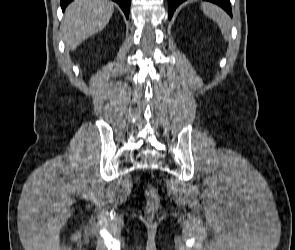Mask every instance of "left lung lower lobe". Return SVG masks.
I'll return each mask as SVG.
<instances>
[{
    "label": "left lung lower lobe",
    "mask_w": 295,
    "mask_h": 250,
    "mask_svg": "<svg viewBox=\"0 0 295 250\" xmlns=\"http://www.w3.org/2000/svg\"><path fill=\"white\" fill-rule=\"evenodd\" d=\"M184 1L185 0H168V9H169L168 18L169 19H171L176 7ZM207 1L213 2V3L221 6L232 17L230 0H207Z\"/></svg>",
    "instance_id": "obj_1"
}]
</instances>
